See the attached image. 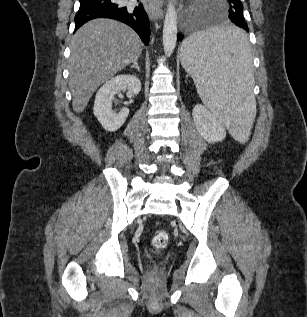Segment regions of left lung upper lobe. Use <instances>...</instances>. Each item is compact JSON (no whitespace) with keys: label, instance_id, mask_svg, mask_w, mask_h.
I'll return each instance as SVG.
<instances>
[{"label":"left lung upper lobe","instance_id":"obj_1","mask_svg":"<svg viewBox=\"0 0 307 317\" xmlns=\"http://www.w3.org/2000/svg\"><path fill=\"white\" fill-rule=\"evenodd\" d=\"M229 4V18L230 20L236 17L241 22L245 23L243 17V5L240 0H227Z\"/></svg>","mask_w":307,"mask_h":317}]
</instances>
